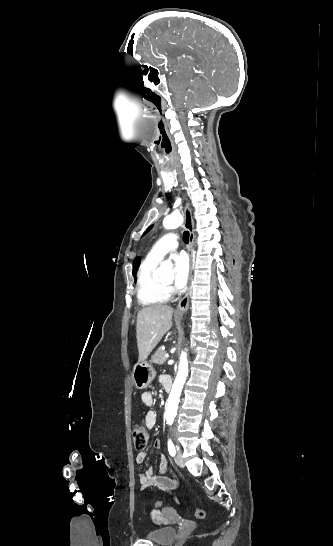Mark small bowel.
I'll use <instances>...</instances> for the list:
<instances>
[{"mask_svg":"<svg viewBox=\"0 0 333 546\" xmlns=\"http://www.w3.org/2000/svg\"><path fill=\"white\" fill-rule=\"evenodd\" d=\"M167 376H161L160 381L164 384ZM142 403L145 406L151 407L154 405V396L151 392L146 391L141 395ZM157 415L155 411L150 410L145 416V425L147 428L151 429L156 425ZM162 446L161 439H156L154 441V447L160 449ZM147 458V454L144 451H140L136 455V462L138 464H143ZM168 468L167 459L162 456L159 462L158 471L156 472L152 467H148L144 472L138 474V481L143 489L154 486L161 490L167 492H174L178 487V480L176 478H170L164 475L165 470ZM152 520L156 523H162L165 521L167 515L169 514V509H163V511L153 509L148 510Z\"/></svg>","mask_w":333,"mask_h":546,"instance_id":"small-bowel-1","label":"small bowel"}]
</instances>
